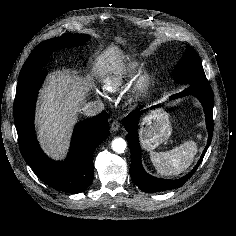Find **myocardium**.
I'll return each instance as SVG.
<instances>
[{
	"label": "myocardium",
	"instance_id": "myocardium-1",
	"mask_svg": "<svg viewBox=\"0 0 236 236\" xmlns=\"http://www.w3.org/2000/svg\"><path fill=\"white\" fill-rule=\"evenodd\" d=\"M151 82H152L151 72L147 70L141 72L133 84L132 88L133 99H138L141 95H143L150 87Z\"/></svg>",
	"mask_w": 236,
	"mask_h": 236
}]
</instances>
